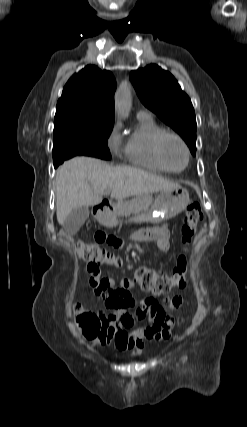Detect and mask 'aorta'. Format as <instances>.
Returning <instances> with one entry per match:
<instances>
[{
    "label": "aorta",
    "instance_id": "aorta-1",
    "mask_svg": "<svg viewBox=\"0 0 247 427\" xmlns=\"http://www.w3.org/2000/svg\"><path fill=\"white\" fill-rule=\"evenodd\" d=\"M131 107V88L127 83L122 84L115 94V110L119 117L127 118Z\"/></svg>",
    "mask_w": 247,
    "mask_h": 427
}]
</instances>
